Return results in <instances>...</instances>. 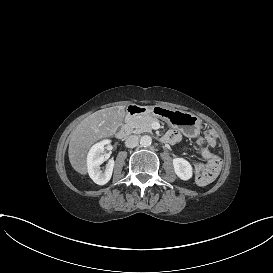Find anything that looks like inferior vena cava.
I'll use <instances>...</instances> for the list:
<instances>
[{"mask_svg": "<svg viewBox=\"0 0 273 273\" xmlns=\"http://www.w3.org/2000/svg\"><path fill=\"white\" fill-rule=\"evenodd\" d=\"M139 138L137 135H130L125 140V146L128 148H134L138 145Z\"/></svg>", "mask_w": 273, "mask_h": 273, "instance_id": "inferior-vena-cava-1", "label": "inferior vena cava"}]
</instances>
